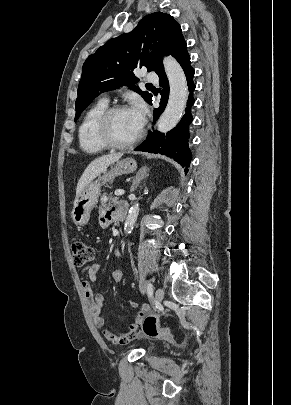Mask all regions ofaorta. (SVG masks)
Wrapping results in <instances>:
<instances>
[{"label": "aorta", "mask_w": 291, "mask_h": 405, "mask_svg": "<svg viewBox=\"0 0 291 405\" xmlns=\"http://www.w3.org/2000/svg\"><path fill=\"white\" fill-rule=\"evenodd\" d=\"M163 65L169 81V99L167 106L158 120L157 128L160 132L166 133L173 129L181 119L186 107L188 86L185 73L172 56L164 57ZM139 214V204H134L128 213L125 221V229L128 233L134 227Z\"/></svg>", "instance_id": "obj_1"}]
</instances>
